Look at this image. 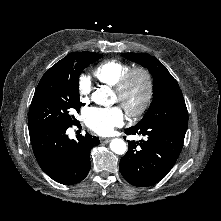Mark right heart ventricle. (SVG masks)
Here are the masks:
<instances>
[{
    "label": "right heart ventricle",
    "instance_id": "e07e8e85",
    "mask_svg": "<svg viewBox=\"0 0 221 221\" xmlns=\"http://www.w3.org/2000/svg\"><path fill=\"white\" fill-rule=\"evenodd\" d=\"M130 69L131 66L126 62L109 59L98 64L94 68L93 74L100 82L115 88Z\"/></svg>",
    "mask_w": 221,
    "mask_h": 221
}]
</instances>
